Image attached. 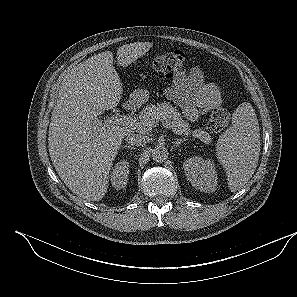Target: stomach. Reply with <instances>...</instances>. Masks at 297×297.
<instances>
[{"mask_svg":"<svg viewBox=\"0 0 297 297\" xmlns=\"http://www.w3.org/2000/svg\"><path fill=\"white\" fill-rule=\"evenodd\" d=\"M130 99L135 104L141 105L149 99V92L147 90L137 89L131 94Z\"/></svg>","mask_w":297,"mask_h":297,"instance_id":"1","label":"stomach"}]
</instances>
